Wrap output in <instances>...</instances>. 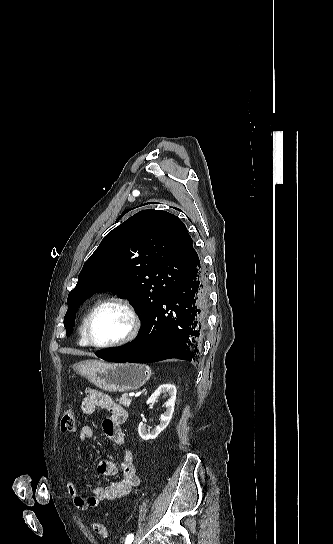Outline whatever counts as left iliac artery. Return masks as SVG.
Returning <instances> with one entry per match:
<instances>
[{"label": "left iliac artery", "instance_id": "obj_1", "mask_svg": "<svg viewBox=\"0 0 333 544\" xmlns=\"http://www.w3.org/2000/svg\"><path fill=\"white\" fill-rule=\"evenodd\" d=\"M133 539H134V534L133 533L129 534L125 539V544H131Z\"/></svg>", "mask_w": 333, "mask_h": 544}]
</instances>
